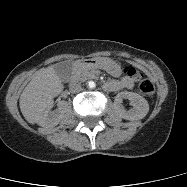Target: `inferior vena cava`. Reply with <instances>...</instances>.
Returning a JSON list of instances; mask_svg holds the SVG:
<instances>
[{"label":"inferior vena cava","instance_id":"obj_1","mask_svg":"<svg viewBox=\"0 0 187 187\" xmlns=\"http://www.w3.org/2000/svg\"><path fill=\"white\" fill-rule=\"evenodd\" d=\"M69 90L71 93H77V92H80L82 90V88H81L80 83L75 82V83H71L69 85Z\"/></svg>","mask_w":187,"mask_h":187}]
</instances>
